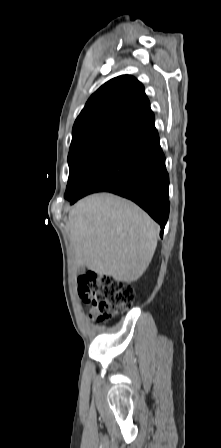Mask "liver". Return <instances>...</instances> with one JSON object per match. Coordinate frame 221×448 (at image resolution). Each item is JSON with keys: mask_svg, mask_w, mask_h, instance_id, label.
<instances>
[{"mask_svg": "<svg viewBox=\"0 0 221 448\" xmlns=\"http://www.w3.org/2000/svg\"><path fill=\"white\" fill-rule=\"evenodd\" d=\"M75 264L131 283L149 266L158 226L133 202L110 193L90 195L69 212L67 222Z\"/></svg>", "mask_w": 221, "mask_h": 448, "instance_id": "6515ba94", "label": "liver"}]
</instances>
